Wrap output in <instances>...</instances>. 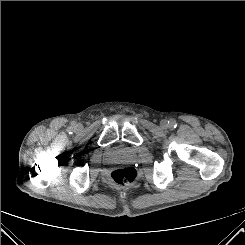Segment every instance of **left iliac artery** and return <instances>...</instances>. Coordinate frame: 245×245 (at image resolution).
Here are the masks:
<instances>
[{"label": "left iliac artery", "instance_id": "left-iliac-artery-1", "mask_svg": "<svg viewBox=\"0 0 245 245\" xmlns=\"http://www.w3.org/2000/svg\"><path fill=\"white\" fill-rule=\"evenodd\" d=\"M168 124L171 128H175L177 126V123L174 119H171L170 121H168Z\"/></svg>", "mask_w": 245, "mask_h": 245}]
</instances>
